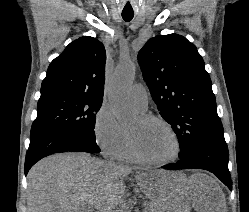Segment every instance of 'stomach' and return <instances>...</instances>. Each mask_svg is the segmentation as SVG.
<instances>
[{"label":"stomach","mask_w":249,"mask_h":212,"mask_svg":"<svg viewBox=\"0 0 249 212\" xmlns=\"http://www.w3.org/2000/svg\"><path fill=\"white\" fill-rule=\"evenodd\" d=\"M143 184V192L147 193L149 204H160L161 212H190L191 179L182 175V170H147V175H139Z\"/></svg>","instance_id":"obj_1"}]
</instances>
